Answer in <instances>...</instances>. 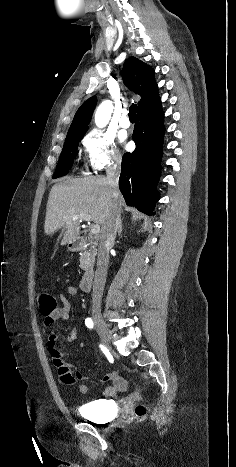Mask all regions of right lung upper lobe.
<instances>
[{"mask_svg":"<svg viewBox=\"0 0 236 467\" xmlns=\"http://www.w3.org/2000/svg\"><path fill=\"white\" fill-rule=\"evenodd\" d=\"M124 83L128 88L141 96L138 102V112L149 107L159 99L153 69L135 57L126 60L122 70ZM96 106V97L85 101L77 110L68 134L86 133Z\"/></svg>","mask_w":236,"mask_h":467,"instance_id":"right-lung-upper-lobe-1","label":"right lung upper lobe"}]
</instances>
